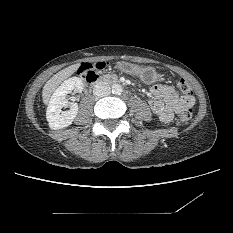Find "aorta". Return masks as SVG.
I'll list each match as a JSON object with an SVG mask.
<instances>
[{
  "mask_svg": "<svg viewBox=\"0 0 233 233\" xmlns=\"http://www.w3.org/2000/svg\"><path fill=\"white\" fill-rule=\"evenodd\" d=\"M112 91H113V93L114 94H121L122 92H123V88H122V86L121 85H119V84H115L114 86H113V88H112Z\"/></svg>",
  "mask_w": 233,
  "mask_h": 233,
  "instance_id": "762f6f07",
  "label": "aorta"
}]
</instances>
